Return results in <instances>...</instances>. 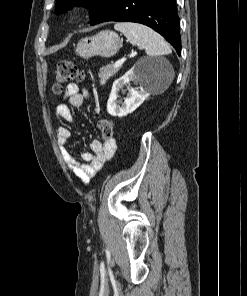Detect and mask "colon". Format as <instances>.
I'll use <instances>...</instances> for the list:
<instances>
[{
	"label": "colon",
	"instance_id": "1",
	"mask_svg": "<svg viewBox=\"0 0 247 296\" xmlns=\"http://www.w3.org/2000/svg\"><path fill=\"white\" fill-rule=\"evenodd\" d=\"M84 78L82 69L72 61L63 60L59 62L54 84L52 87L54 94H61L64 85L73 80H81ZM98 127L104 142H110L114 135V125L110 120L100 119Z\"/></svg>",
	"mask_w": 247,
	"mask_h": 296
}]
</instances>
